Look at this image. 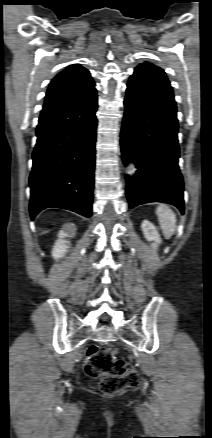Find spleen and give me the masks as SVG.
Returning a JSON list of instances; mask_svg holds the SVG:
<instances>
[{
  "mask_svg": "<svg viewBox=\"0 0 212 438\" xmlns=\"http://www.w3.org/2000/svg\"><path fill=\"white\" fill-rule=\"evenodd\" d=\"M156 215L165 238L170 239L176 231L175 213L167 205L161 204L156 208Z\"/></svg>",
  "mask_w": 212,
  "mask_h": 438,
  "instance_id": "obj_1",
  "label": "spleen"
}]
</instances>
